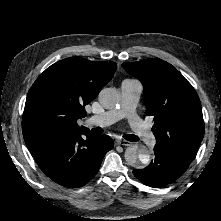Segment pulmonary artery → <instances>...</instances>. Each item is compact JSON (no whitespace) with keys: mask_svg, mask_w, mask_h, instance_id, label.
Returning <instances> with one entry per match:
<instances>
[{"mask_svg":"<svg viewBox=\"0 0 221 221\" xmlns=\"http://www.w3.org/2000/svg\"><path fill=\"white\" fill-rule=\"evenodd\" d=\"M121 105L119 108L109 110L87 118L86 124L105 127L122 118H128L132 130L144 143L150 144L154 136L147 125L136 116L135 108L140 99L142 85L136 80H124L120 86Z\"/></svg>","mask_w":221,"mask_h":221,"instance_id":"1","label":"pulmonary artery"}]
</instances>
